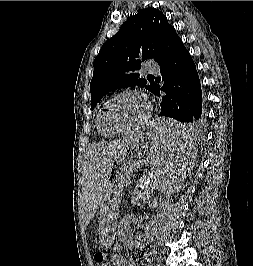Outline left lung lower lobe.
Segmentation results:
<instances>
[{
	"instance_id": "0a47b994",
	"label": "left lung lower lobe",
	"mask_w": 253,
	"mask_h": 266,
	"mask_svg": "<svg viewBox=\"0 0 253 266\" xmlns=\"http://www.w3.org/2000/svg\"><path fill=\"white\" fill-rule=\"evenodd\" d=\"M163 85L154 84L152 92L161 98L159 116L172 118L173 125L163 131L170 140H192L203 125L202 91L194 61L175 29L169 36L159 59ZM158 82V81H157Z\"/></svg>"
}]
</instances>
